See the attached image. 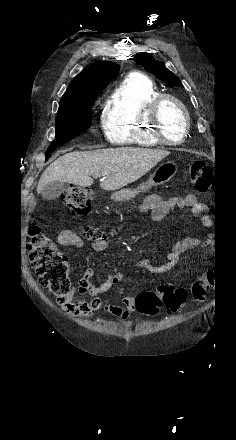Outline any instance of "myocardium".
<instances>
[{
    "label": "myocardium",
    "instance_id": "obj_1",
    "mask_svg": "<svg viewBox=\"0 0 236 440\" xmlns=\"http://www.w3.org/2000/svg\"><path fill=\"white\" fill-rule=\"evenodd\" d=\"M171 101L175 103L181 110L184 117V130L180 139L173 140L167 137L163 130L162 120H161V109L165 102ZM148 121L151 125V131L153 136L164 145H178L183 142L188 137L190 129V115L185 106V104L176 96L168 93H161L156 96L148 107L147 112Z\"/></svg>",
    "mask_w": 236,
    "mask_h": 440
}]
</instances>
